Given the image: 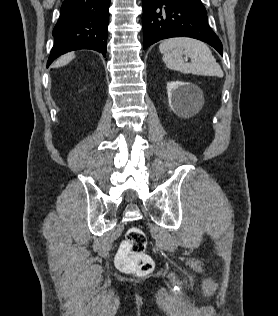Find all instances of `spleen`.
I'll return each instance as SVG.
<instances>
[{"instance_id": "obj_1", "label": "spleen", "mask_w": 278, "mask_h": 316, "mask_svg": "<svg viewBox=\"0 0 278 316\" xmlns=\"http://www.w3.org/2000/svg\"><path fill=\"white\" fill-rule=\"evenodd\" d=\"M159 49L169 69L197 75H224L209 47L201 41L188 37L170 38L164 40ZM182 55L190 57L193 62L185 63Z\"/></svg>"}]
</instances>
